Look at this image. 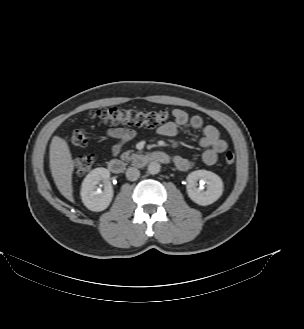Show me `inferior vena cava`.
I'll list each match as a JSON object with an SVG mask.
<instances>
[{"label": "inferior vena cava", "instance_id": "602c4592", "mask_svg": "<svg viewBox=\"0 0 304 329\" xmlns=\"http://www.w3.org/2000/svg\"><path fill=\"white\" fill-rule=\"evenodd\" d=\"M140 176V171L135 167H130L126 171V177L130 181H136Z\"/></svg>", "mask_w": 304, "mask_h": 329}]
</instances>
